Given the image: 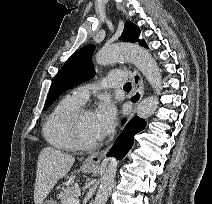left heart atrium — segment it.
<instances>
[{"label": "left heart atrium", "mask_w": 212, "mask_h": 204, "mask_svg": "<svg viewBox=\"0 0 212 204\" xmlns=\"http://www.w3.org/2000/svg\"><path fill=\"white\" fill-rule=\"evenodd\" d=\"M99 139L113 131L117 123V110L110 101H103L94 112Z\"/></svg>", "instance_id": "39dd6f15"}]
</instances>
